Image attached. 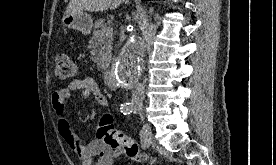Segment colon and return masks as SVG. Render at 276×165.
I'll return each mask as SVG.
<instances>
[{
	"label": "colon",
	"instance_id": "colon-1",
	"mask_svg": "<svg viewBox=\"0 0 276 165\" xmlns=\"http://www.w3.org/2000/svg\"><path fill=\"white\" fill-rule=\"evenodd\" d=\"M55 62V74L59 80L65 81L74 77L75 66L68 55L59 54ZM97 137L109 147L121 151L130 159L153 163V159L143 152L131 137L114 127L112 116L109 114L101 118L97 127Z\"/></svg>",
	"mask_w": 276,
	"mask_h": 165
}]
</instances>
